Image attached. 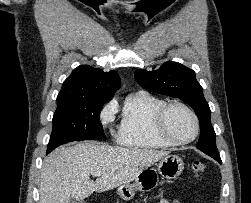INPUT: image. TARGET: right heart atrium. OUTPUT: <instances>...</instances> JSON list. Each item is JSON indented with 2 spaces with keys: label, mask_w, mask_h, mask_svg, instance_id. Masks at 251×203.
<instances>
[{
  "label": "right heart atrium",
  "mask_w": 251,
  "mask_h": 203,
  "mask_svg": "<svg viewBox=\"0 0 251 203\" xmlns=\"http://www.w3.org/2000/svg\"><path fill=\"white\" fill-rule=\"evenodd\" d=\"M116 103L111 101L102 111L101 118L104 125H110L114 122V114L116 112Z\"/></svg>",
  "instance_id": "obj_1"
}]
</instances>
